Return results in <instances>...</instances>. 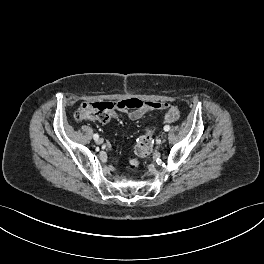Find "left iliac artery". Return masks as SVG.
Segmentation results:
<instances>
[{"instance_id": "left-iliac-artery-1", "label": "left iliac artery", "mask_w": 264, "mask_h": 264, "mask_svg": "<svg viewBox=\"0 0 264 264\" xmlns=\"http://www.w3.org/2000/svg\"><path fill=\"white\" fill-rule=\"evenodd\" d=\"M164 130H165V131H169V130H170V126H169V125H165V126H164Z\"/></svg>"}]
</instances>
